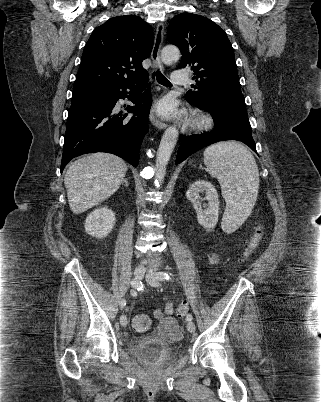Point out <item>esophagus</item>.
Instances as JSON below:
<instances>
[{"instance_id":"34e87169","label":"esophagus","mask_w":321,"mask_h":402,"mask_svg":"<svg viewBox=\"0 0 321 402\" xmlns=\"http://www.w3.org/2000/svg\"><path fill=\"white\" fill-rule=\"evenodd\" d=\"M163 37H164V25H163V23H159L156 28L154 45H153V49H152V53H151V58L153 61V70H157V69L163 70V65H162L161 59H160V50H161V45L163 42ZM158 100H159V92L156 93L155 98H154V104H153L151 114H150V121L157 128L165 129L167 127V124L165 122H163L162 120H160L156 116V112H155Z\"/></svg>"}]
</instances>
